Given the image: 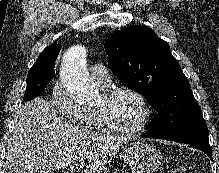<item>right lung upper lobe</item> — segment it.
I'll list each match as a JSON object with an SVG mask.
<instances>
[{"mask_svg": "<svg viewBox=\"0 0 219 173\" xmlns=\"http://www.w3.org/2000/svg\"><path fill=\"white\" fill-rule=\"evenodd\" d=\"M61 45L53 43L46 47L39 55L37 61L34 63L32 68H38L43 70L45 73L55 75V60L60 52Z\"/></svg>", "mask_w": 219, "mask_h": 173, "instance_id": "cb5924a9", "label": "right lung upper lobe"}]
</instances>
